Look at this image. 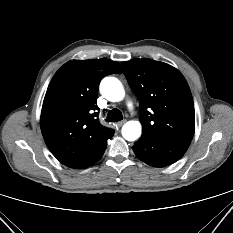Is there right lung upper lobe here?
<instances>
[{"label": "right lung upper lobe", "instance_id": "cb5924a9", "mask_svg": "<svg viewBox=\"0 0 233 233\" xmlns=\"http://www.w3.org/2000/svg\"><path fill=\"white\" fill-rule=\"evenodd\" d=\"M121 72L109 59L71 60L52 78L40 126L47 147L65 166L83 169L102 157L114 130L99 122L98 87L106 75Z\"/></svg>", "mask_w": 233, "mask_h": 233}]
</instances>
